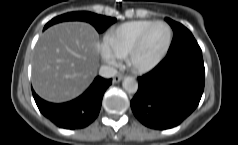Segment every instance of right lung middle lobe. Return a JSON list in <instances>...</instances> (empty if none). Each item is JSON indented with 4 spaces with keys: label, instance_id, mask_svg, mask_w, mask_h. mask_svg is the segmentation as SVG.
<instances>
[{
    "label": "right lung middle lobe",
    "instance_id": "1",
    "mask_svg": "<svg viewBox=\"0 0 238 145\" xmlns=\"http://www.w3.org/2000/svg\"><path fill=\"white\" fill-rule=\"evenodd\" d=\"M63 21H85L93 25L99 33H102L111 24L115 23L116 19L87 11L70 12L53 18L45 25L44 30L53 24Z\"/></svg>",
    "mask_w": 238,
    "mask_h": 145
}]
</instances>
